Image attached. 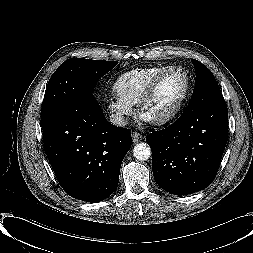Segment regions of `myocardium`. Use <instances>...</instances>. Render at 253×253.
Masks as SVG:
<instances>
[{
  "label": "myocardium",
  "instance_id": "myocardium-1",
  "mask_svg": "<svg viewBox=\"0 0 253 253\" xmlns=\"http://www.w3.org/2000/svg\"><path fill=\"white\" fill-rule=\"evenodd\" d=\"M180 72L185 80V88L184 91L180 97V99L178 100L177 104L175 105V107L168 113L161 115L159 117L156 118H147L144 115V111L146 109V107L148 106L149 102L152 100L153 96L156 93V90L160 84V82L164 79V77L166 75H168L170 72ZM190 93V78L188 73L186 72V70L182 67L179 66H171L168 69H166L165 71L161 72L160 74H158L148 85V87L146 88V90L144 91V93L142 94V96L140 97L138 103H137V114L139 116V118L151 125L154 126H161L164 125L172 120H174L179 113L182 111L186 100L189 96Z\"/></svg>",
  "mask_w": 253,
  "mask_h": 253
}]
</instances>
